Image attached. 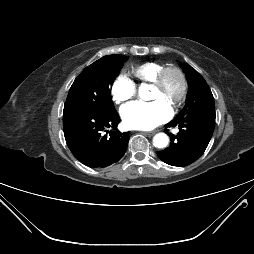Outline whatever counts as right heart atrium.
<instances>
[{
	"instance_id": "d8ad5b80",
	"label": "right heart atrium",
	"mask_w": 254,
	"mask_h": 254,
	"mask_svg": "<svg viewBox=\"0 0 254 254\" xmlns=\"http://www.w3.org/2000/svg\"><path fill=\"white\" fill-rule=\"evenodd\" d=\"M136 86L126 75H118L111 85V96L116 104H122L134 97Z\"/></svg>"
}]
</instances>
